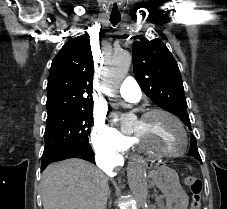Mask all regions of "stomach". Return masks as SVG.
Returning a JSON list of instances; mask_svg holds the SVG:
<instances>
[{
  "mask_svg": "<svg viewBox=\"0 0 227 209\" xmlns=\"http://www.w3.org/2000/svg\"><path fill=\"white\" fill-rule=\"evenodd\" d=\"M156 187L165 195L166 209H186L189 198L179 183V176L167 166L158 167L152 175Z\"/></svg>",
  "mask_w": 227,
  "mask_h": 209,
  "instance_id": "1",
  "label": "stomach"
}]
</instances>
